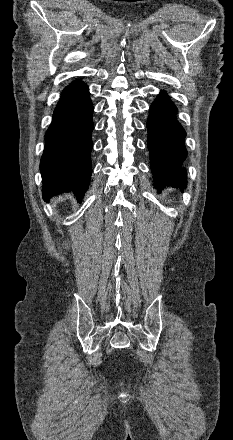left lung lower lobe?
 Wrapping results in <instances>:
<instances>
[{"mask_svg":"<svg viewBox=\"0 0 233 440\" xmlns=\"http://www.w3.org/2000/svg\"><path fill=\"white\" fill-rule=\"evenodd\" d=\"M177 108L162 92L150 107L147 121L148 148L154 185L176 188L186 186V169L181 165L187 156L184 145L186 132L176 120Z\"/></svg>","mask_w":233,"mask_h":440,"instance_id":"obj_1","label":"left lung lower lobe"}]
</instances>
